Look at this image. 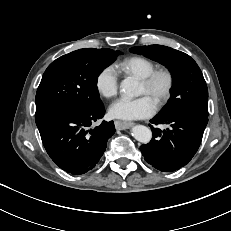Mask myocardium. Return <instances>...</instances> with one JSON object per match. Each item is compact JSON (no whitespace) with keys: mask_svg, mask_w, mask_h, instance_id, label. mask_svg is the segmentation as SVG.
<instances>
[{"mask_svg":"<svg viewBox=\"0 0 231 231\" xmlns=\"http://www.w3.org/2000/svg\"><path fill=\"white\" fill-rule=\"evenodd\" d=\"M148 94H155V105L162 107L171 97L175 76L169 67L154 69L149 75L141 79ZM160 87V88H159Z\"/></svg>","mask_w":231,"mask_h":231,"instance_id":"1","label":"myocardium"}]
</instances>
